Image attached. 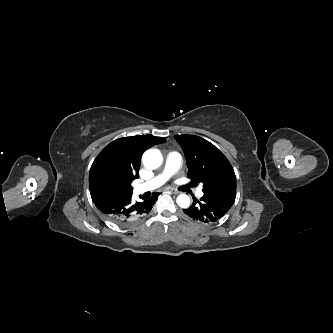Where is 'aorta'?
<instances>
[{
  "mask_svg": "<svg viewBox=\"0 0 333 333\" xmlns=\"http://www.w3.org/2000/svg\"><path fill=\"white\" fill-rule=\"evenodd\" d=\"M143 164L149 169L158 168L163 161L162 154L157 149H149L144 152L142 156ZM177 204L181 208H188L190 205V198L186 194H181L177 197Z\"/></svg>",
  "mask_w": 333,
  "mask_h": 333,
  "instance_id": "obj_1",
  "label": "aorta"
}]
</instances>
